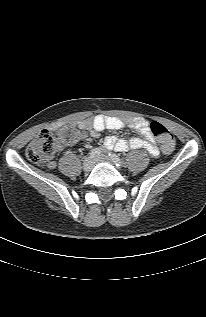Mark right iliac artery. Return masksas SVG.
I'll use <instances>...</instances> for the list:
<instances>
[{
  "instance_id": "obj_1",
  "label": "right iliac artery",
  "mask_w": 206,
  "mask_h": 317,
  "mask_svg": "<svg viewBox=\"0 0 206 317\" xmlns=\"http://www.w3.org/2000/svg\"><path fill=\"white\" fill-rule=\"evenodd\" d=\"M102 153H103V151H102L101 148H94V149H92V150L89 152V156H90L91 158H93V157H98V156L102 155Z\"/></svg>"
}]
</instances>
